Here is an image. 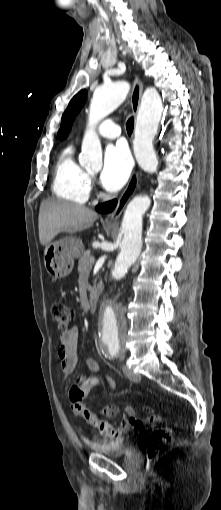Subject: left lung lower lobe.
Segmentation results:
<instances>
[{"mask_svg":"<svg viewBox=\"0 0 221 510\" xmlns=\"http://www.w3.org/2000/svg\"><path fill=\"white\" fill-rule=\"evenodd\" d=\"M117 201H109L104 204H99L96 206V210L100 213H109L116 207Z\"/></svg>","mask_w":221,"mask_h":510,"instance_id":"left-lung-lower-lobe-1","label":"left lung lower lobe"}]
</instances>
